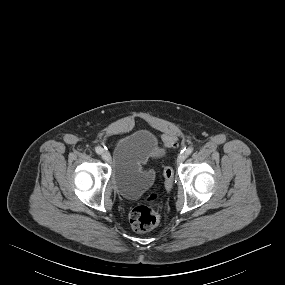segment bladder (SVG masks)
<instances>
[{"label": "bladder", "mask_w": 285, "mask_h": 285, "mask_svg": "<svg viewBox=\"0 0 285 285\" xmlns=\"http://www.w3.org/2000/svg\"><path fill=\"white\" fill-rule=\"evenodd\" d=\"M160 152V138L148 129L140 128L119 136L110 155L115 191L127 199L144 194L155 179L154 172L145 169L144 164Z\"/></svg>", "instance_id": "obj_1"}]
</instances>
